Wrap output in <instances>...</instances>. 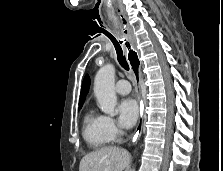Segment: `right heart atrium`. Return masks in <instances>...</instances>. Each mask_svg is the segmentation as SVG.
Instances as JSON below:
<instances>
[{"mask_svg":"<svg viewBox=\"0 0 223 171\" xmlns=\"http://www.w3.org/2000/svg\"><path fill=\"white\" fill-rule=\"evenodd\" d=\"M103 126L111 140L115 139L120 133L116 121L110 116H103Z\"/></svg>","mask_w":223,"mask_h":171,"instance_id":"right-heart-atrium-1","label":"right heart atrium"}]
</instances>
